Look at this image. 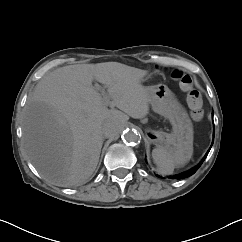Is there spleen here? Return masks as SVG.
Masks as SVG:
<instances>
[{
    "label": "spleen",
    "mask_w": 242,
    "mask_h": 242,
    "mask_svg": "<svg viewBox=\"0 0 242 242\" xmlns=\"http://www.w3.org/2000/svg\"><path fill=\"white\" fill-rule=\"evenodd\" d=\"M180 151H167L162 148H155L152 151V157L157 165V171L161 174H172L174 168L178 165H184L188 161L180 159Z\"/></svg>",
    "instance_id": "1"
}]
</instances>
